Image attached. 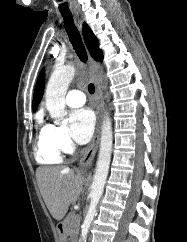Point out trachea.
<instances>
[{
	"label": "trachea",
	"mask_w": 187,
	"mask_h": 242,
	"mask_svg": "<svg viewBox=\"0 0 187 242\" xmlns=\"http://www.w3.org/2000/svg\"><path fill=\"white\" fill-rule=\"evenodd\" d=\"M61 14L64 19L66 32L77 56L83 63H86L88 60L87 52L82 42L80 33L74 24L72 14L70 12H61ZM88 91L90 94L95 92V87L92 83L88 85Z\"/></svg>",
	"instance_id": "trachea-1"
}]
</instances>
